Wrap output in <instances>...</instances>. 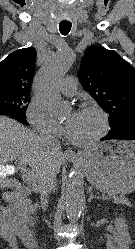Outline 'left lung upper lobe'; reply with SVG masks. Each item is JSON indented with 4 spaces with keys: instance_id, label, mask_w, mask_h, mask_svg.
<instances>
[{
    "instance_id": "1",
    "label": "left lung upper lobe",
    "mask_w": 135,
    "mask_h": 249,
    "mask_svg": "<svg viewBox=\"0 0 135 249\" xmlns=\"http://www.w3.org/2000/svg\"><path fill=\"white\" fill-rule=\"evenodd\" d=\"M78 76L83 87L110 115L112 130L125 126L135 115V68L118 53L88 47Z\"/></svg>"
}]
</instances>
